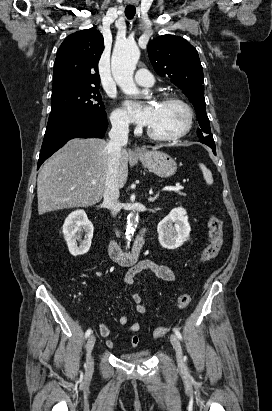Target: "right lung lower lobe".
I'll return each mask as SVG.
<instances>
[{"label": "right lung lower lobe", "mask_w": 272, "mask_h": 411, "mask_svg": "<svg viewBox=\"0 0 272 411\" xmlns=\"http://www.w3.org/2000/svg\"><path fill=\"white\" fill-rule=\"evenodd\" d=\"M108 126L106 118L77 117L63 123L46 128L42 143L38 166L61 148L68 140L76 137L102 138Z\"/></svg>", "instance_id": "1"}]
</instances>
